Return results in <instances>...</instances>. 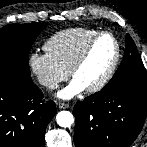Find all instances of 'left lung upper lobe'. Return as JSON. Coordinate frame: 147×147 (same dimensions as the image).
<instances>
[{"label": "left lung upper lobe", "mask_w": 147, "mask_h": 147, "mask_svg": "<svg viewBox=\"0 0 147 147\" xmlns=\"http://www.w3.org/2000/svg\"><path fill=\"white\" fill-rule=\"evenodd\" d=\"M122 85L147 86L145 67L137 51L135 43L129 34L126 35V49L123 61L103 90Z\"/></svg>", "instance_id": "5c2ea615"}]
</instances>
